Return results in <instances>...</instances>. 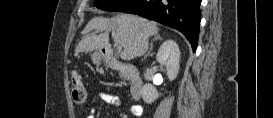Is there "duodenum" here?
I'll use <instances>...</instances> for the list:
<instances>
[{
    "label": "duodenum",
    "instance_id": "1",
    "mask_svg": "<svg viewBox=\"0 0 273 118\" xmlns=\"http://www.w3.org/2000/svg\"><path fill=\"white\" fill-rule=\"evenodd\" d=\"M104 61L109 67L117 70L129 81V93L133 99H139L143 93L144 82L137 68L131 64L123 63L114 58L110 53L103 55Z\"/></svg>",
    "mask_w": 273,
    "mask_h": 118
}]
</instances>
